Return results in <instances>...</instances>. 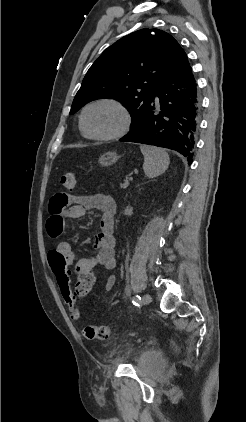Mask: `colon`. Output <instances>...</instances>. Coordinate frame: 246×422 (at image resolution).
Returning <instances> with one entry per match:
<instances>
[{
	"label": "colon",
	"instance_id": "1",
	"mask_svg": "<svg viewBox=\"0 0 246 422\" xmlns=\"http://www.w3.org/2000/svg\"><path fill=\"white\" fill-rule=\"evenodd\" d=\"M60 184L67 190L75 189V174L71 171L64 172L60 177ZM48 260L56 276L63 300L68 306L71 318L79 320L81 317V301L92 290L95 283L94 271L89 270L78 274L74 290L72 291L69 286V264L65 256L56 249H52L49 251ZM83 335L87 339L105 340L110 336V328L105 325L87 326L83 329Z\"/></svg>",
	"mask_w": 246,
	"mask_h": 422
}]
</instances>
